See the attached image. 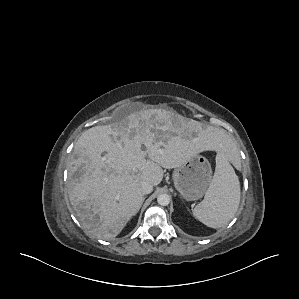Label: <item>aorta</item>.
Instances as JSON below:
<instances>
[{
	"label": "aorta",
	"mask_w": 299,
	"mask_h": 299,
	"mask_svg": "<svg viewBox=\"0 0 299 299\" xmlns=\"http://www.w3.org/2000/svg\"><path fill=\"white\" fill-rule=\"evenodd\" d=\"M157 202L161 206H167L170 203V196L168 194H160L157 197Z\"/></svg>",
	"instance_id": "aorta-1"
}]
</instances>
